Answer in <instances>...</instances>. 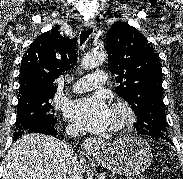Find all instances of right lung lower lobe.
<instances>
[{"label": "right lung lower lobe", "instance_id": "right-lung-lower-lobe-1", "mask_svg": "<svg viewBox=\"0 0 183 179\" xmlns=\"http://www.w3.org/2000/svg\"><path fill=\"white\" fill-rule=\"evenodd\" d=\"M55 124L46 125V126H38L35 128L23 130V131L19 132L18 135H14V140L16 141L18 138H20L21 136L28 134V133H42V134H47V135H56L57 130H56Z\"/></svg>", "mask_w": 183, "mask_h": 179}]
</instances>
